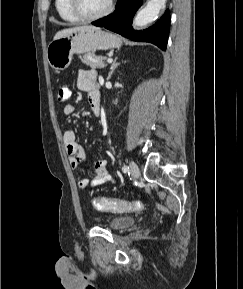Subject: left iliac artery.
<instances>
[{"label": "left iliac artery", "mask_w": 243, "mask_h": 289, "mask_svg": "<svg viewBox=\"0 0 243 289\" xmlns=\"http://www.w3.org/2000/svg\"><path fill=\"white\" fill-rule=\"evenodd\" d=\"M129 170V167H127L126 165H124L123 167H122V171L123 172H127Z\"/></svg>", "instance_id": "obj_1"}]
</instances>
